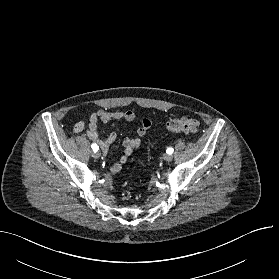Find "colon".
<instances>
[{"label":"colon","instance_id":"obj_1","mask_svg":"<svg viewBox=\"0 0 279 279\" xmlns=\"http://www.w3.org/2000/svg\"><path fill=\"white\" fill-rule=\"evenodd\" d=\"M166 128L168 131L174 133L194 134L200 128V122L195 118L186 116L170 120Z\"/></svg>","mask_w":279,"mask_h":279}]
</instances>
